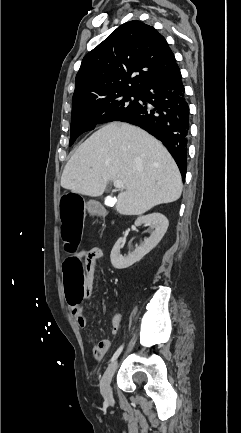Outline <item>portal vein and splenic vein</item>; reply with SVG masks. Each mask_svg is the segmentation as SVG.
<instances>
[{
  "mask_svg": "<svg viewBox=\"0 0 241 433\" xmlns=\"http://www.w3.org/2000/svg\"><path fill=\"white\" fill-rule=\"evenodd\" d=\"M113 185H114L115 188H120V189H124L125 188V185H124L123 181H121V180H115L113 182Z\"/></svg>",
  "mask_w": 241,
  "mask_h": 433,
  "instance_id": "18ae733b",
  "label": "portal vein and splenic vein"
}]
</instances>
